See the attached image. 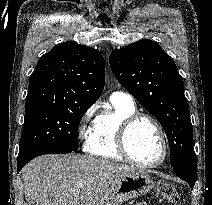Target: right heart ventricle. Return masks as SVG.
Listing matches in <instances>:
<instances>
[{"instance_id": "right-heart-ventricle-1", "label": "right heart ventricle", "mask_w": 212, "mask_h": 205, "mask_svg": "<svg viewBox=\"0 0 212 205\" xmlns=\"http://www.w3.org/2000/svg\"><path fill=\"white\" fill-rule=\"evenodd\" d=\"M113 110L102 112L95 118L85 149L91 155L104 159L124 161L116 145V135L120 123L137 112L133 102L111 98Z\"/></svg>"}]
</instances>
